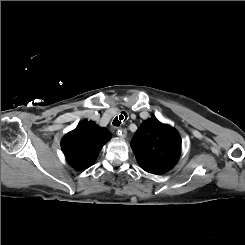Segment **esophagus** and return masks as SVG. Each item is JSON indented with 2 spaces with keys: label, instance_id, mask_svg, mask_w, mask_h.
<instances>
[{
  "label": "esophagus",
  "instance_id": "esophagus-1",
  "mask_svg": "<svg viewBox=\"0 0 245 245\" xmlns=\"http://www.w3.org/2000/svg\"><path fill=\"white\" fill-rule=\"evenodd\" d=\"M117 135L120 138H125L127 136V130L125 128H120L117 130Z\"/></svg>",
  "mask_w": 245,
  "mask_h": 245
}]
</instances>
